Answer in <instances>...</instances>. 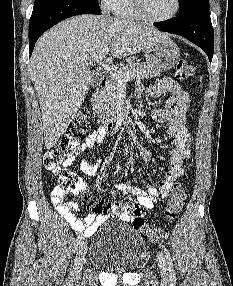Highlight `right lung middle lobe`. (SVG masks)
I'll return each instance as SVG.
<instances>
[{
    "mask_svg": "<svg viewBox=\"0 0 233 286\" xmlns=\"http://www.w3.org/2000/svg\"><path fill=\"white\" fill-rule=\"evenodd\" d=\"M47 0H35L34 9L42 6ZM100 10L97 0H80Z\"/></svg>",
    "mask_w": 233,
    "mask_h": 286,
    "instance_id": "obj_1",
    "label": "right lung middle lobe"
}]
</instances>
